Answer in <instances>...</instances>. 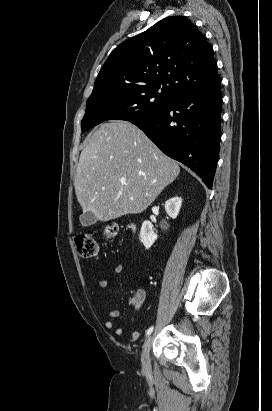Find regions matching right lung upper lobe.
I'll list each match as a JSON object with an SVG mask.
<instances>
[{"mask_svg":"<svg viewBox=\"0 0 272 411\" xmlns=\"http://www.w3.org/2000/svg\"><path fill=\"white\" fill-rule=\"evenodd\" d=\"M220 79L213 48L182 16L162 19L121 43L104 63L93 92L123 87H159L174 97Z\"/></svg>","mask_w":272,"mask_h":411,"instance_id":"cb5924a9","label":"right lung upper lobe"}]
</instances>
